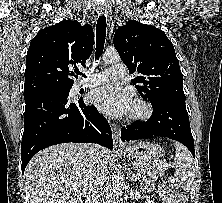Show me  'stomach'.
Masks as SVG:
<instances>
[{
    "instance_id": "1",
    "label": "stomach",
    "mask_w": 222,
    "mask_h": 203,
    "mask_svg": "<svg viewBox=\"0 0 222 203\" xmlns=\"http://www.w3.org/2000/svg\"><path fill=\"white\" fill-rule=\"evenodd\" d=\"M124 154L126 157L135 159L137 161L142 160H155L162 157L165 151L162 146L155 143L140 141L131 144L124 148Z\"/></svg>"
}]
</instances>
